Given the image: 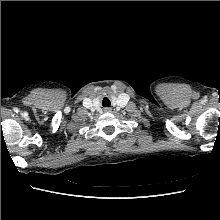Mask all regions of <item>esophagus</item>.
Listing matches in <instances>:
<instances>
[{
    "mask_svg": "<svg viewBox=\"0 0 220 220\" xmlns=\"http://www.w3.org/2000/svg\"><path fill=\"white\" fill-rule=\"evenodd\" d=\"M105 111H108V112H109V111H111V109H110V108H106V110H105Z\"/></svg>",
    "mask_w": 220,
    "mask_h": 220,
    "instance_id": "1",
    "label": "esophagus"
}]
</instances>
